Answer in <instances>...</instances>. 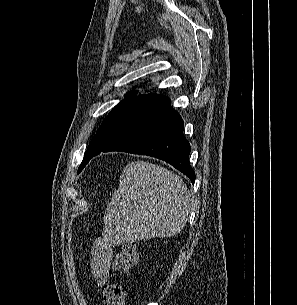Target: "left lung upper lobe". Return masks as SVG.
<instances>
[{
	"label": "left lung upper lobe",
	"instance_id": "left-lung-upper-lobe-1",
	"mask_svg": "<svg viewBox=\"0 0 297 305\" xmlns=\"http://www.w3.org/2000/svg\"><path fill=\"white\" fill-rule=\"evenodd\" d=\"M136 92L131 91L128 92L125 98L117 104L114 109L108 114V116L104 119L103 123L98 129V133L92 138L85 154L84 159L78 169V173L85 167V165L90 160V155L93 154L101 145L105 135L107 134L108 130L112 126L116 117L124 110V108L134 99Z\"/></svg>",
	"mask_w": 297,
	"mask_h": 305
}]
</instances>
